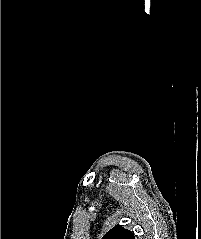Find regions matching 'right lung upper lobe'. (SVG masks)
Instances as JSON below:
<instances>
[{"label":"right lung upper lobe","instance_id":"cb5924a9","mask_svg":"<svg viewBox=\"0 0 201 239\" xmlns=\"http://www.w3.org/2000/svg\"><path fill=\"white\" fill-rule=\"evenodd\" d=\"M102 239H135V236L129 230L117 225L107 232Z\"/></svg>","mask_w":201,"mask_h":239}]
</instances>
